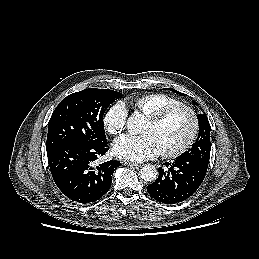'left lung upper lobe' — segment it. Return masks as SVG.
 <instances>
[{"label":"left lung upper lobe","instance_id":"left-lung-upper-lobe-1","mask_svg":"<svg viewBox=\"0 0 259 259\" xmlns=\"http://www.w3.org/2000/svg\"><path fill=\"white\" fill-rule=\"evenodd\" d=\"M172 91L177 92L179 95L183 96L184 94L178 92L171 88ZM194 102V101H193ZM197 104L196 102H194ZM199 121V135L195 143H193L192 147L181 154L180 156L188 157L198 162L204 163L208 165L210 158V124L208 118L205 114L197 115Z\"/></svg>","mask_w":259,"mask_h":259}]
</instances>
